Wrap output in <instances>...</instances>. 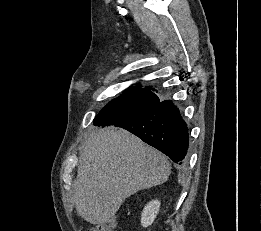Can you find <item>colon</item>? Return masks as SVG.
Returning <instances> with one entry per match:
<instances>
[{"instance_id": "obj_1", "label": "colon", "mask_w": 261, "mask_h": 231, "mask_svg": "<svg viewBox=\"0 0 261 231\" xmlns=\"http://www.w3.org/2000/svg\"><path fill=\"white\" fill-rule=\"evenodd\" d=\"M116 221V214L111 215L108 219L94 225L89 231H113Z\"/></svg>"}]
</instances>
